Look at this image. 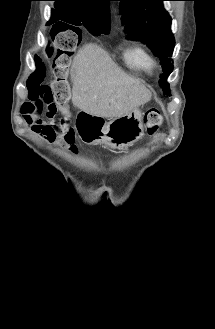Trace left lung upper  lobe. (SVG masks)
I'll list each match as a JSON object with an SVG mask.
<instances>
[{
	"label": "left lung upper lobe",
	"mask_w": 215,
	"mask_h": 329,
	"mask_svg": "<svg viewBox=\"0 0 215 329\" xmlns=\"http://www.w3.org/2000/svg\"><path fill=\"white\" fill-rule=\"evenodd\" d=\"M121 2L120 11L127 38L146 43L160 58L164 73L159 81L164 93L170 95L167 77L173 71L170 58L175 46L171 32V17L163 8L165 0H117Z\"/></svg>",
	"instance_id": "left-lung-upper-lobe-1"
}]
</instances>
